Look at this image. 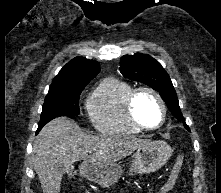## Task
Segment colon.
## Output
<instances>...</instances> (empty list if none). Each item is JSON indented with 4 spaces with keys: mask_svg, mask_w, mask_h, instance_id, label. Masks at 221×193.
Wrapping results in <instances>:
<instances>
[{
    "mask_svg": "<svg viewBox=\"0 0 221 193\" xmlns=\"http://www.w3.org/2000/svg\"><path fill=\"white\" fill-rule=\"evenodd\" d=\"M183 161H184V158L182 155H180L176 159V161L172 167V170L170 172V175H169L167 181L164 183V185L160 189L159 193H168L174 187L176 180L179 176V173L182 169Z\"/></svg>",
    "mask_w": 221,
    "mask_h": 193,
    "instance_id": "1",
    "label": "colon"
}]
</instances>
